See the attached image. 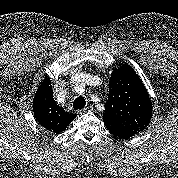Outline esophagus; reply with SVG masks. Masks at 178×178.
Wrapping results in <instances>:
<instances>
[{
    "label": "esophagus",
    "mask_w": 178,
    "mask_h": 178,
    "mask_svg": "<svg viewBox=\"0 0 178 178\" xmlns=\"http://www.w3.org/2000/svg\"><path fill=\"white\" fill-rule=\"evenodd\" d=\"M90 111H92V107L88 106V107H86V108L79 109V110L77 111V113H78V114H84V113L90 112Z\"/></svg>",
    "instance_id": "obj_1"
}]
</instances>
